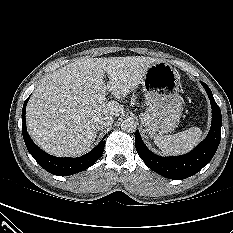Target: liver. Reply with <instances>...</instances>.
Listing matches in <instances>:
<instances>
[{
  "label": "liver",
  "instance_id": "6515ba94",
  "mask_svg": "<svg viewBox=\"0 0 233 233\" xmlns=\"http://www.w3.org/2000/svg\"><path fill=\"white\" fill-rule=\"evenodd\" d=\"M159 59L144 56L81 58L45 76L35 88L26 109L32 139L56 156H76L94 143V117L123 114L117 101H99L110 91L117 99L142 83L147 69ZM107 74L109 81L104 80Z\"/></svg>",
  "mask_w": 233,
  "mask_h": 233
}]
</instances>
